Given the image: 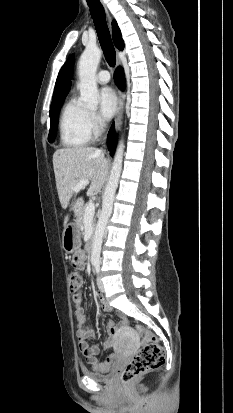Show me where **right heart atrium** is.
Here are the masks:
<instances>
[{
    "label": "right heart atrium",
    "mask_w": 233,
    "mask_h": 413,
    "mask_svg": "<svg viewBox=\"0 0 233 413\" xmlns=\"http://www.w3.org/2000/svg\"><path fill=\"white\" fill-rule=\"evenodd\" d=\"M89 122L94 132H98L103 128V123L101 119L94 111L89 112Z\"/></svg>",
    "instance_id": "1"
}]
</instances>
